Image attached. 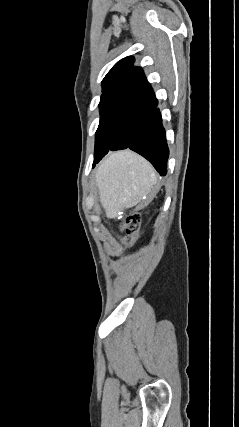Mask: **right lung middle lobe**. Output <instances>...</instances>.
Instances as JSON below:
<instances>
[{"mask_svg":"<svg viewBox=\"0 0 239 427\" xmlns=\"http://www.w3.org/2000/svg\"><path fill=\"white\" fill-rule=\"evenodd\" d=\"M100 123L95 135L94 164L108 151L125 148L141 118L149 111L150 102L138 98L101 100Z\"/></svg>","mask_w":239,"mask_h":427,"instance_id":"dd1d6c3e","label":"right lung middle lobe"}]
</instances>
